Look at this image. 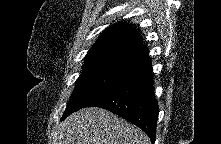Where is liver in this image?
Here are the masks:
<instances>
[{"label":"liver","instance_id":"6515ba94","mask_svg":"<svg viewBox=\"0 0 221 144\" xmlns=\"http://www.w3.org/2000/svg\"><path fill=\"white\" fill-rule=\"evenodd\" d=\"M64 124V144H151L142 130L101 108H83Z\"/></svg>","mask_w":221,"mask_h":144}]
</instances>
